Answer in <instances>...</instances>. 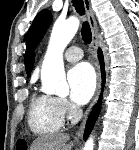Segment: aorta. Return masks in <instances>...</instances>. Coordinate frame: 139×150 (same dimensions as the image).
Listing matches in <instances>:
<instances>
[{
  "label": "aorta",
  "mask_w": 139,
  "mask_h": 150,
  "mask_svg": "<svg viewBox=\"0 0 139 150\" xmlns=\"http://www.w3.org/2000/svg\"><path fill=\"white\" fill-rule=\"evenodd\" d=\"M80 21L72 16L65 21H56L41 69L42 89L45 93L66 96L69 87L65 79L63 52L78 31ZM83 150H94L92 136Z\"/></svg>",
  "instance_id": "762f6f07"
}]
</instances>
